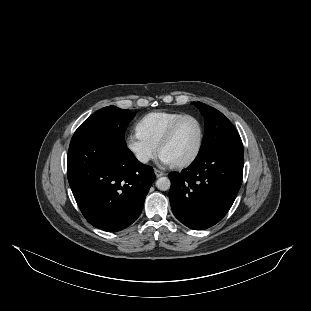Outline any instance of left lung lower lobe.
Listing matches in <instances>:
<instances>
[{
	"label": "left lung lower lobe",
	"instance_id": "left-lung-lower-lobe-1",
	"mask_svg": "<svg viewBox=\"0 0 311 311\" xmlns=\"http://www.w3.org/2000/svg\"><path fill=\"white\" fill-rule=\"evenodd\" d=\"M243 165V144L238 142L195 159L180 173H170L169 199L175 217L194 230L219 222L240 189Z\"/></svg>",
	"mask_w": 311,
	"mask_h": 311
}]
</instances>
